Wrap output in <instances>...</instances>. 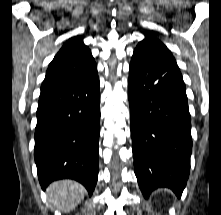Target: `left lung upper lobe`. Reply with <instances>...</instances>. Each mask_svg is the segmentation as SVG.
<instances>
[{
    "instance_id": "5c2ea615",
    "label": "left lung upper lobe",
    "mask_w": 221,
    "mask_h": 215,
    "mask_svg": "<svg viewBox=\"0 0 221 215\" xmlns=\"http://www.w3.org/2000/svg\"><path fill=\"white\" fill-rule=\"evenodd\" d=\"M145 39L138 43L135 50H147L154 47H160L166 52H169V49L156 37V34L153 32H146Z\"/></svg>"
}]
</instances>
